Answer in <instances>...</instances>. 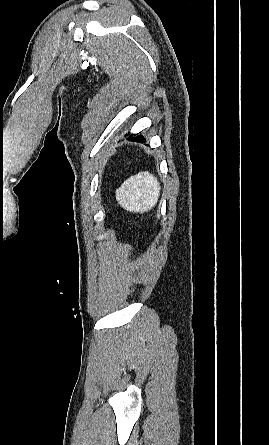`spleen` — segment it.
<instances>
[{"mask_svg":"<svg viewBox=\"0 0 269 445\" xmlns=\"http://www.w3.org/2000/svg\"><path fill=\"white\" fill-rule=\"evenodd\" d=\"M160 184L149 172H139L123 182L116 190V200L129 212H146L158 202Z\"/></svg>","mask_w":269,"mask_h":445,"instance_id":"obj_1","label":"spleen"}]
</instances>
